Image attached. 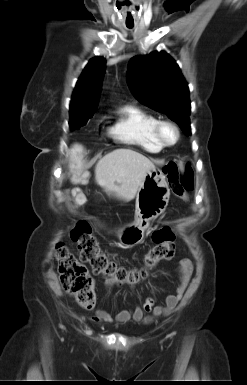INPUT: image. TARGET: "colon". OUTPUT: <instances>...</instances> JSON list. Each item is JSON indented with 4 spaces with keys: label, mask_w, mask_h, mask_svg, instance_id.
<instances>
[{
    "label": "colon",
    "mask_w": 247,
    "mask_h": 385,
    "mask_svg": "<svg viewBox=\"0 0 247 385\" xmlns=\"http://www.w3.org/2000/svg\"><path fill=\"white\" fill-rule=\"evenodd\" d=\"M164 171L172 192L186 198L187 193L194 188L191 167L186 165L180 169L174 162H169ZM71 238L78 244L80 257L72 254L64 244H58V272L63 289L85 309L94 307L96 294L94 280L83 263H88L95 275L103 276L113 283L134 285L146 279L158 263L171 260L175 255V235L168 226L153 232L154 246L145 255L141 269H127L110 259L100 248L87 222H79L71 231Z\"/></svg>",
    "instance_id": "colon-1"
}]
</instances>
